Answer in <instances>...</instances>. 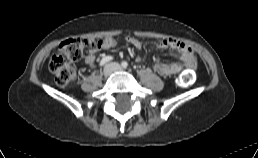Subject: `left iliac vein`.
<instances>
[{"label":"left iliac vein","instance_id":"left-iliac-vein-1","mask_svg":"<svg viewBox=\"0 0 258 158\" xmlns=\"http://www.w3.org/2000/svg\"><path fill=\"white\" fill-rule=\"evenodd\" d=\"M110 65L112 66L113 71H120V70H122V67L118 63H112Z\"/></svg>","mask_w":258,"mask_h":158}]
</instances>
